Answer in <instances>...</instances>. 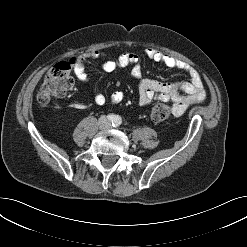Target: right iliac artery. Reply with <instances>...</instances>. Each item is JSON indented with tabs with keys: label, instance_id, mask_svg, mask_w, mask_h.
Returning a JSON list of instances; mask_svg holds the SVG:
<instances>
[{
	"label": "right iliac artery",
	"instance_id": "right-iliac-artery-1",
	"mask_svg": "<svg viewBox=\"0 0 247 247\" xmlns=\"http://www.w3.org/2000/svg\"><path fill=\"white\" fill-rule=\"evenodd\" d=\"M107 118H108L109 121L112 122V124H113V123L115 122V120H116V116L113 115V114L108 115Z\"/></svg>",
	"mask_w": 247,
	"mask_h": 247
}]
</instances>
